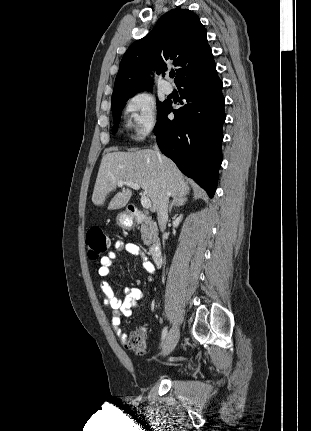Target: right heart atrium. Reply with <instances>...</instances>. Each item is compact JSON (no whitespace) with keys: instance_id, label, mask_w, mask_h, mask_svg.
<instances>
[{"instance_id":"right-heart-atrium-1","label":"right heart atrium","mask_w":311,"mask_h":431,"mask_svg":"<svg viewBox=\"0 0 311 431\" xmlns=\"http://www.w3.org/2000/svg\"><path fill=\"white\" fill-rule=\"evenodd\" d=\"M125 110L136 139L144 140L159 128V109L149 92L139 91L131 95L125 103Z\"/></svg>"}]
</instances>
